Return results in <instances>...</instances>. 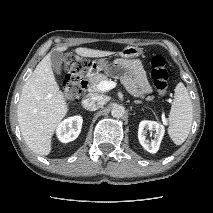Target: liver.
I'll return each mask as SVG.
<instances>
[{
    "label": "liver",
    "mask_w": 213,
    "mask_h": 213,
    "mask_svg": "<svg viewBox=\"0 0 213 213\" xmlns=\"http://www.w3.org/2000/svg\"><path fill=\"white\" fill-rule=\"evenodd\" d=\"M66 51L67 47H58ZM83 57H105L110 51L76 48ZM68 112V105L55 80L50 53L36 66L25 82L17 107L18 123L27 146L36 154L46 156L51 152L54 132Z\"/></svg>",
    "instance_id": "obj_1"
}]
</instances>
